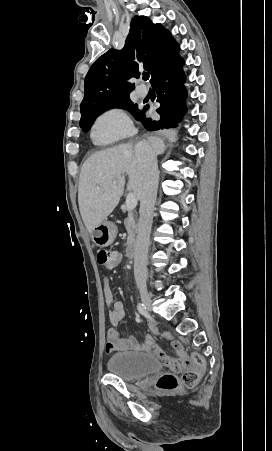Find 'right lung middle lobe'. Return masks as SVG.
<instances>
[{"instance_id":"obj_1","label":"right lung middle lobe","mask_w":272,"mask_h":451,"mask_svg":"<svg viewBox=\"0 0 272 451\" xmlns=\"http://www.w3.org/2000/svg\"><path fill=\"white\" fill-rule=\"evenodd\" d=\"M109 108L127 109L133 113L136 119H139L142 111L138 109L137 104H133L130 98L112 101L102 104L81 113L80 127L84 132L88 131L94 119L103 111Z\"/></svg>"}]
</instances>
